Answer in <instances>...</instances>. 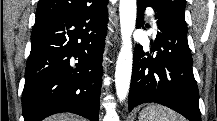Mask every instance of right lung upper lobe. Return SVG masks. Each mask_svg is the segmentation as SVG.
I'll return each instance as SVG.
<instances>
[{"instance_id":"cb5924a9","label":"right lung upper lobe","mask_w":217,"mask_h":121,"mask_svg":"<svg viewBox=\"0 0 217 121\" xmlns=\"http://www.w3.org/2000/svg\"><path fill=\"white\" fill-rule=\"evenodd\" d=\"M90 5V0H39L36 21L78 12Z\"/></svg>"}]
</instances>
